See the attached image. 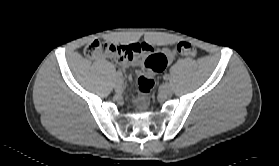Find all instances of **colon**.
<instances>
[{
  "instance_id": "colon-1",
  "label": "colon",
  "mask_w": 279,
  "mask_h": 166,
  "mask_svg": "<svg viewBox=\"0 0 279 166\" xmlns=\"http://www.w3.org/2000/svg\"><path fill=\"white\" fill-rule=\"evenodd\" d=\"M140 44L120 45L94 41L84 49V55L89 59H97L103 55L112 54L116 57L126 58L141 53ZM177 52L183 57H194L197 49L194 44L182 41L177 45ZM165 64L164 57L160 53H151L144 60V72L138 77L137 85L141 94L147 95L154 86L152 74L160 72Z\"/></svg>"
}]
</instances>
